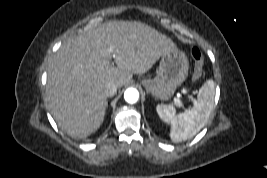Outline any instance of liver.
<instances>
[{
    "label": "liver",
    "instance_id": "6515ba94",
    "mask_svg": "<svg viewBox=\"0 0 267 178\" xmlns=\"http://www.w3.org/2000/svg\"><path fill=\"white\" fill-rule=\"evenodd\" d=\"M175 47L170 38L136 21H110L67 40L48 68L51 115L71 137L89 136L104 120L106 84L121 88ZM112 57L115 67L110 64Z\"/></svg>",
    "mask_w": 267,
    "mask_h": 178
}]
</instances>
